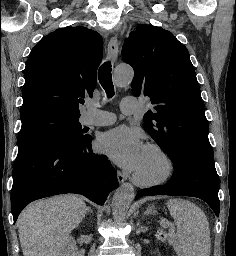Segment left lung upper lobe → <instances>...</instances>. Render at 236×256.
<instances>
[{
	"label": "left lung upper lobe",
	"instance_id": "1",
	"mask_svg": "<svg viewBox=\"0 0 236 256\" xmlns=\"http://www.w3.org/2000/svg\"><path fill=\"white\" fill-rule=\"evenodd\" d=\"M122 59L134 69L133 94L149 97L153 105L143 126L169 158L177 160L186 152L213 156L187 48L161 27L138 25L125 41Z\"/></svg>",
	"mask_w": 236,
	"mask_h": 256
}]
</instances>
